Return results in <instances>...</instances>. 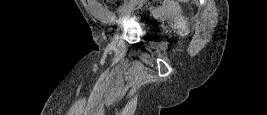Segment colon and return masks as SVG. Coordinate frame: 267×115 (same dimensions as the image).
<instances>
[{"label": "colon", "instance_id": "5ec220e1", "mask_svg": "<svg viewBox=\"0 0 267 115\" xmlns=\"http://www.w3.org/2000/svg\"><path fill=\"white\" fill-rule=\"evenodd\" d=\"M124 0H103L104 6L110 12H118L124 4ZM161 0H142L135 10V16L137 18H148L152 8L159 7Z\"/></svg>", "mask_w": 267, "mask_h": 115}]
</instances>
